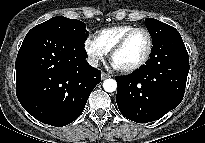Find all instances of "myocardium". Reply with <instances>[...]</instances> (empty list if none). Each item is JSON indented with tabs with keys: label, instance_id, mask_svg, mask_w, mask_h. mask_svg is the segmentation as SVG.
I'll list each match as a JSON object with an SVG mask.
<instances>
[{
	"label": "myocardium",
	"instance_id": "obj_1",
	"mask_svg": "<svg viewBox=\"0 0 205 143\" xmlns=\"http://www.w3.org/2000/svg\"><path fill=\"white\" fill-rule=\"evenodd\" d=\"M138 31H142L146 34L147 38H148V47H147V51L144 55V57L141 59L140 62H138L137 64L131 66V67H127V68H118L121 72L123 73H133L136 72L138 70H140L142 67H144L146 65V63L149 61L152 51H153V38L152 35L150 33V31L145 28V27H134L133 29L129 30L128 32H126L121 39L116 43V45L112 48V50L110 51V60L113 62V58L114 56L120 52L126 45L127 41L129 40V38Z\"/></svg>",
	"mask_w": 205,
	"mask_h": 143
}]
</instances>
